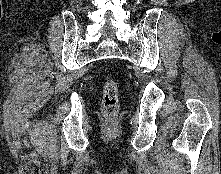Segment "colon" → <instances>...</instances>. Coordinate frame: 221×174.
Returning <instances> with one entry per match:
<instances>
[{
    "instance_id": "5ec220e1",
    "label": "colon",
    "mask_w": 221,
    "mask_h": 174,
    "mask_svg": "<svg viewBox=\"0 0 221 174\" xmlns=\"http://www.w3.org/2000/svg\"><path fill=\"white\" fill-rule=\"evenodd\" d=\"M119 109V88L114 79H107L103 86L102 111L108 120H112Z\"/></svg>"
}]
</instances>
